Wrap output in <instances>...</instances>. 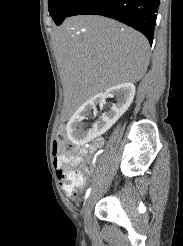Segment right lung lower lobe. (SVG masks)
Segmentation results:
<instances>
[{
    "instance_id": "1",
    "label": "right lung lower lobe",
    "mask_w": 183,
    "mask_h": 246,
    "mask_svg": "<svg viewBox=\"0 0 183 246\" xmlns=\"http://www.w3.org/2000/svg\"><path fill=\"white\" fill-rule=\"evenodd\" d=\"M159 4L160 0H79L67 17L92 14L113 18L141 32L152 44Z\"/></svg>"
}]
</instances>
